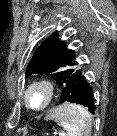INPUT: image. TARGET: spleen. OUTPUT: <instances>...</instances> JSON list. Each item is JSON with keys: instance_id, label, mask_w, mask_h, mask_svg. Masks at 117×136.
Wrapping results in <instances>:
<instances>
[{"instance_id": "spleen-1", "label": "spleen", "mask_w": 117, "mask_h": 136, "mask_svg": "<svg viewBox=\"0 0 117 136\" xmlns=\"http://www.w3.org/2000/svg\"><path fill=\"white\" fill-rule=\"evenodd\" d=\"M66 131V136H89L92 120L87 109L80 105L66 103L56 109L48 116Z\"/></svg>"}]
</instances>
